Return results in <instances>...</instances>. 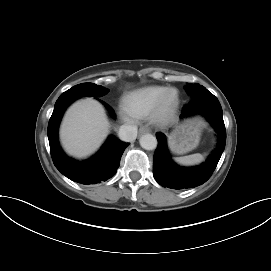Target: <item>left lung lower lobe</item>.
<instances>
[{
  "label": "left lung lower lobe",
  "instance_id": "0a47b994",
  "mask_svg": "<svg viewBox=\"0 0 271 271\" xmlns=\"http://www.w3.org/2000/svg\"><path fill=\"white\" fill-rule=\"evenodd\" d=\"M193 113H201L212 124L218 134V145L206 162L200 166L180 167L172 161L169 155L165 135L158 132L156 134L158 148L154 154L153 176L163 187L184 189L202 185L212 175L224 151L226 130L218 99L211 93L193 98L184 107L181 117H187Z\"/></svg>",
  "mask_w": 271,
  "mask_h": 271
}]
</instances>
